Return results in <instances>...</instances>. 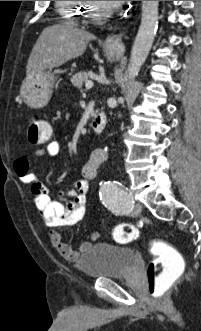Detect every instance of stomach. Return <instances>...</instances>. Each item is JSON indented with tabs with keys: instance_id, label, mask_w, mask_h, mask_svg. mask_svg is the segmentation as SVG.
Returning <instances> with one entry per match:
<instances>
[{
	"instance_id": "1",
	"label": "stomach",
	"mask_w": 201,
	"mask_h": 331,
	"mask_svg": "<svg viewBox=\"0 0 201 331\" xmlns=\"http://www.w3.org/2000/svg\"><path fill=\"white\" fill-rule=\"evenodd\" d=\"M107 55L113 60L119 59V55L114 52L107 51ZM54 82L55 77L51 70L44 71L41 74L26 78L22 83L20 94L31 108H43L51 98Z\"/></svg>"
}]
</instances>
